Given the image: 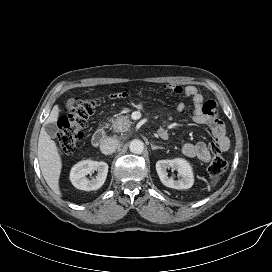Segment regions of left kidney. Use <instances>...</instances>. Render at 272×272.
<instances>
[{
  "mask_svg": "<svg viewBox=\"0 0 272 272\" xmlns=\"http://www.w3.org/2000/svg\"><path fill=\"white\" fill-rule=\"evenodd\" d=\"M172 168L176 170L180 176L175 180L168 177L167 170ZM156 171L163 185L173 189H189L194 183L193 171L190 163L182 158L172 160H159L156 163Z\"/></svg>",
  "mask_w": 272,
  "mask_h": 272,
  "instance_id": "obj_1",
  "label": "left kidney"
}]
</instances>
